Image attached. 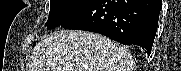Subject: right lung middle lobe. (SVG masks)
<instances>
[{
	"label": "right lung middle lobe",
	"instance_id": "1",
	"mask_svg": "<svg viewBox=\"0 0 181 71\" xmlns=\"http://www.w3.org/2000/svg\"><path fill=\"white\" fill-rule=\"evenodd\" d=\"M49 19L45 26L47 29H53L66 22L89 4L93 0H50Z\"/></svg>",
	"mask_w": 181,
	"mask_h": 71
}]
</instances>
